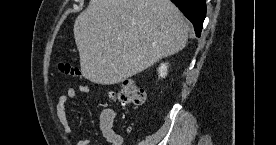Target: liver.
<instances>
[{
	"instance_id": "obj_1",
	"label": "liver",
	"mask_w": 276,
	"mask_h": 145,
	"mask_svg": "<svg viewBox=\"0 0 276 145\" xmlns=\"http://www.w3.org/2000/svg\"><path fill=\"white\" fill-rule=\"evenodd\" d=\"M82 75L113 85L181 51L188 24L170 0H90L74 23Z\"/></svg>"
}]
</instances>
